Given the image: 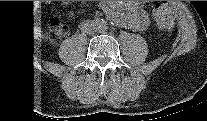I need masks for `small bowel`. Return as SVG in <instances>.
<instances>
[{
  "label": "small bowel",
  "mask_w": 207,
  "mask_h": 121,
  "mask_svg": "<svg viewBox=\"0 0 207 121\" xmlns=\"http://www.w3.org/2000/svg\"><path fill=\"white\" fill-rule=\"evenodd\" d=\"M61 4L68 9L72 7V2L70 1H62ZM100 7L113 21L129 28L145 30L149 25L148 18L144 15L141 4L139 3L130 2L125 12H122L109 1H102ZM68 16L72 18L73 12L69 11Z\"/></svg>",
  "instance_id": "c3829d8e"
}]
</instances>
